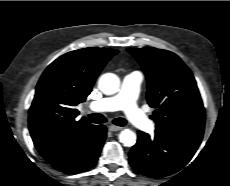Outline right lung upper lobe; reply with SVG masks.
<instances>
[{"label":"right lung upper lobe","mask_w":230,"mask_h":186,"mask_svg":"<svg viewBox=\"0 0 230 186\" xmlns=\"http://www.w3.org/2000/svg\"><path fill=\"white\" fill-rule=\"evenodd\" d=\"M117 53L108 48L71 51L42 74L29 109V130L35 147L47 161L94 126L86 118L76 121L75 107L85 101L97 76Z\"/></svg>","instance_id":"obj_1"}]
</instances>
